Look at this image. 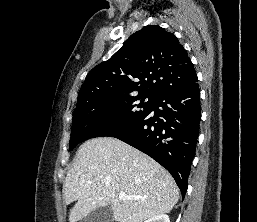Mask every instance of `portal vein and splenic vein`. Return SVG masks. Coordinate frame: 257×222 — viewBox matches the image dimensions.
I'll return each mask as SVG.
<instances>
[{"mask_svg":"<svg viewBox=\"0 0 257 222\" xmlns=\"http://www.w3.org/2000/svg\"><path fill=\"white\" fill-rule=\"evenodd\" d=\"M118 197L120 200H126V199L133 200V199L141 198L140 196H127L124 192H119Z\"/></svg>","mask_w":257,"mask_h":222,"instance_id":"1","label":"portal vein and splenic vein"}]
</instances>
